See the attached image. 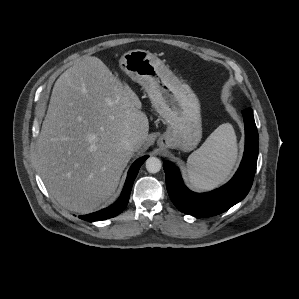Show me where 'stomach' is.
Wrapping results in <instances>:
<instances>
[{
  "mask_svg": "<svg viewBox=\"0 0 299 299\" xmlns=\"http://www.w3.org/2000/svg\"><path fill=\"white\" fill-rule=\"evenodd\" d=\"M119 63L145 89L152 105L168 124L158 145L164 149H194L202 137V124L199 100L192 89L148 51H128Z\"/></svg>",
  "mask_w": 299,
  "mask_h": 299,
  "instance_id": "obj_1",
  "label": "stomach"
}]
</instances>
